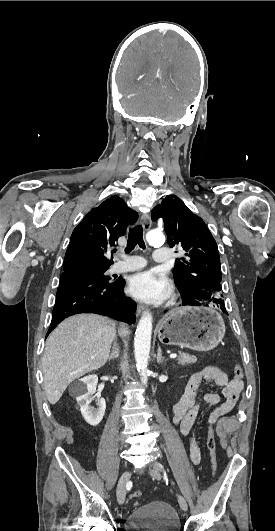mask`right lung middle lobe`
Returning <instances> with one entry per match:
<instances>
[{"instance_id": "1", "label": "right lung middle lobe", "mask_w": 275, "mask_h": 531, "mask_svg": "<svg viewBox=\"0 0 275 531\" xmlns=\"http://www.w3.org/2000/svg\"><path fill=\"white\" fill-rule=\"evenodd\" d=\"M109 268V266H93V265H83V266H77L72 269L63 271V273L67 272H87L91 273L97 277H99L102 280H109L110 277L105 276L104 272Z\"/></svg>"}]
</instances>
